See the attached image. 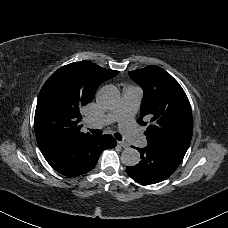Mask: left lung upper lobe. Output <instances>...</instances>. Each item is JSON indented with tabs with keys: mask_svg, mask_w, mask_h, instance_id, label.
Wrapping results in <instances>:
<instances>
[{
	"mask_svg": "<svg viewBox=\"0 0 228 228\" xmlns=\"http://www.w3.org/2000/svg\"><path fill=\"white\" fill-rule=\"evenodd\" d=\"M128 74L144 92L137 122L147 125L144 134L148 143L186 153L192 138L193 120L189 100L180 84L158 66H147Z\"/></svg>",
	"mask_w": 228,
	"mask_h": 228,
	"instance_id": "obj_1",
	"label": "left lung upper lobe"
}]
</instances>
